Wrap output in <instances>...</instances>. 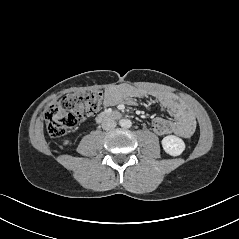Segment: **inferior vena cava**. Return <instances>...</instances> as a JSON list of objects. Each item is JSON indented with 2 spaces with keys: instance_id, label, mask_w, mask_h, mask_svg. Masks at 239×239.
I'll return each instance as SVG.
<instances>
[{
  "instance_id": "1",
  "label": "inferior vena cava",
  "mask_w": 239,
  "mask_h": 239,
  "mask_svg": "<svg viewBox=\"0 0 239 239\" xmlns=\"http://www.w3.org/2000/svg\"><path fill=\"white\" fill-rule=\"evenodd\" d=\"M116 125V122L111 118H107L102 122V128L107 131L114 129Z\"/></svg>"
}]
</instances>
